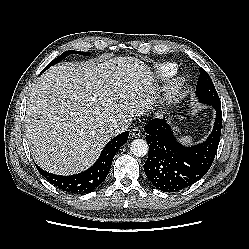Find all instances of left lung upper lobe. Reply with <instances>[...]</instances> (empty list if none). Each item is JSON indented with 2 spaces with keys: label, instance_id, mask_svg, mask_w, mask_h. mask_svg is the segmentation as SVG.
I'll use <instances>...</instances> for the list:
<instances>
[{
  "label": "left lung upper lobe",
  "instance_id": "left-lung-upper-lobe-1",
  "mask_svg": "<svg viewBox=\"0 0 249 249\" xmlns=\"http://www.w3.org/2000/svg\"><path fill=\"white\" fill-rule=\"evenodd\" d=\"M199 102L212 106L220 105V99L208 73L200 68V76L196 86Z\"/></svg>",
  "mask_w": 249,
  "mask_h": 249
}]
</instances>
